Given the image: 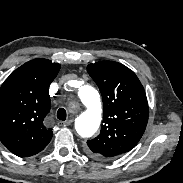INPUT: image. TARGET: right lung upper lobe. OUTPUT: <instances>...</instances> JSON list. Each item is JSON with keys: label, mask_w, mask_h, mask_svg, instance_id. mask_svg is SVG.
I'll use <instances>...</instances> for the list:
<instances>
[{"label": "right lung upper lobe", "mask_w": 183, "mask_h": 183, "mask_svg": "<svg viewBox=\"0 0 183 183\" xmlns=\"http://www.w3.org/2000/svg\"><path fill=\"white\" fill-rule=\"evenodd\" d=\"M58 63L34 59L16 69L0 88V141L19 157L42 151L52 139L44 125L50 111L49 86Z\"/></svg>", "instance_id": "1"}]
</instances>
